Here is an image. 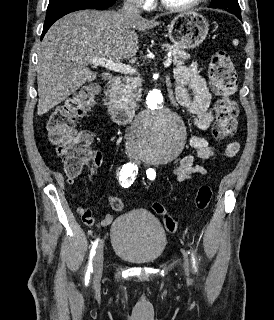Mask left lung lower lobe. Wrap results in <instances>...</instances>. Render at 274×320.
I'll use <instances>...</instances> for the list:
<instances>
[{
    "mask_svg": "<svg viewBox=\"0 0 274 320\" xmlns=\"http://www.w3.org/2000/svg\"><path fill=\"white\" fill-rule=\"evenodd\" d=\"M233 14H234L235 16H237L240 20L242 19V18H241V13L234 12Z\"/></svg>",
    "mask_w": 274,
    "mask_h": 320,
    "instance_id": "left-lung-lower-lobe-1",
    "label": "left lung lower lobe"
}]
</instances>
